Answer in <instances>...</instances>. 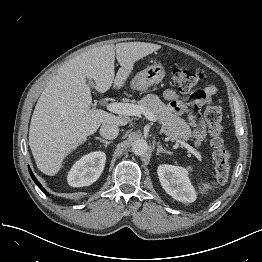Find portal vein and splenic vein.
Listing matches in <instances>:
<instances>
[{
  "label": "portal vein and splenic vein",
  "instance_id": "1",
  "mask_svg": "<svg viewBox=\"0 0 262 262\" xmlns=\"http://www.w3.org/2000/svg\"><path fill=\"white\" fill-rule=\"evenodd\" d=\"M107 110L120 114V115H127V116H137L139 114H144L150 121H155V117L149 111H146L142 106L130 104V103H108L106 105ZM178 142L184 146L189 152L195 155L198 159L201 158L199 152H197L193 147L189 144L185 143L184 141L178 140Z\"/></svg>",
  "mask_w": 262,
  "mask_h": 262
}]
</instances>
